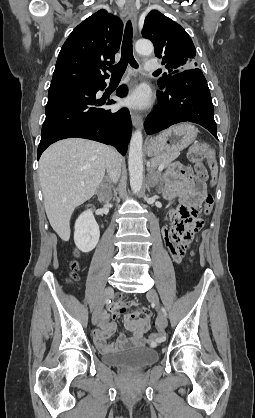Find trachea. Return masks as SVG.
I'll return each mask as SVG.
<instances>
[{
    "label": "trachea",
    "mask_w": 255,
    "mask_h": 418,
    "mask_svg": "<svg viewBox=\"0 0 255 418\" xmlns=\"http://www.w3.org/2000/svg\"><path fill=\"white\" fill-rule=\"evenodd\" d=\"M132 37H133L132 25H131V22L128 21L125 27V31H124V37H123L122 49H121V59L116 65L110 66L108 68V70L112 73L113 77L122 76L128 64H130L135 69L138 68V63L136 62L133 56Z\"/></svg>",
    "instance_id": "obj_1"
}]
</instances>
